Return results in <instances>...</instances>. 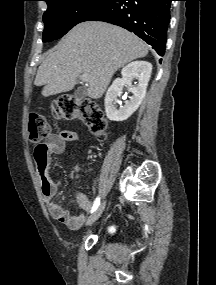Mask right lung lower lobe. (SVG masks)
<instances>
[{"label": "right lung lower lobe", "instance_id": "98d812e1", "mask_svg": "<svg viewBox=\"0 0 216 285\" xmlns=\"http://www.w3.org/2000/svg\"><path fill=\"white\" fill-rule=\"evenodd\" d=\"M172 0H109L84 21L98 20L133 31L163 56Z\"/></svg>", "mask_w": 216, "mask_h": 285}]
</instances>
